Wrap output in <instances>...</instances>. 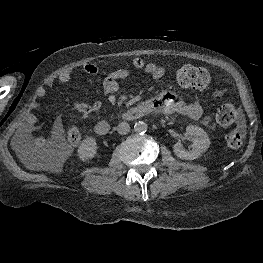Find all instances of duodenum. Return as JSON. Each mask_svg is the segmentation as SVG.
Segmentation results:
<instances>
[{
    "instance_id": "obj_1",
    "label": "duodenum",
    "mask_w": 263,
    "mask_h": 263,
    "mask_svg": "<svg viewBox=\"0 0 263 263\" xmlns=\"http://www.w3.org/2000/svg\"><path fill=\"white\" fill-rule=\"evenodd\" d=\"M151 111V106L148 103L143 102L123 113L122 119L126 121H134L140 119L141 117L150 113ZM110 130L111 123L106 120L99 121L95 126V131L99 135H106L110 132Z\"/></svg>"
}]
</instances>
